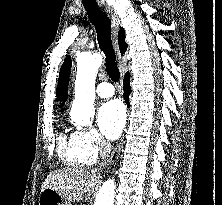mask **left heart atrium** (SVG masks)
<instances>
[{
  "instance_id": "1",
  "label": "left heart atrium",
  "mask_w": 222,
  "mask_h": 205,
  "mask_svg": "<svg viewBox=\"0 0 222 205\" xmlns=\"http://www.w3.org/2000/svg\"><path fill=\"white\" fill-rule=\"evenodd\" d=\"M97 120L100 130L106 138L111 140L118 138L126 121L122 102L115 99L102 104L98 111Z\"/></svg>"
}]
</instances>
